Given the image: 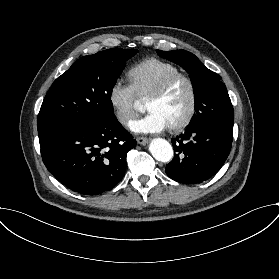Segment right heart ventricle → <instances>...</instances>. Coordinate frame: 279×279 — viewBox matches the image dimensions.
<instances>
[{
    "mask_svg": "<svg viewBox=\"0 0 279 279\" xmlns=\"http://www.w3.org/2000/svg\"><path fill=\"white\" fill-rule=\"evenodd\" d=\"M182 73L176 64L159 58H147L128 72L131 86L140 96H150L168 77Z\"/></svg>",
    "mask_w": 279,
    "mask_h": 279,
    "instance_id": "1",
    "label": "right heart ventricle"
}]
</instances>
